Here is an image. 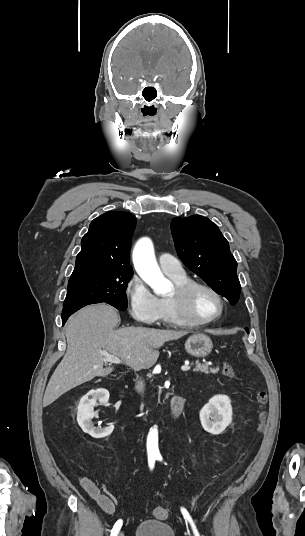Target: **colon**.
Masks as SVG:
<instances>
[{
  "label": "colon",
  "mask_w": 305,
  "mask_h": 536,
  "mask_svg": "<svg viewBox=\"0 0 305 536\" xmlns=\"http://www.w3.org/2000/svg\"><path fill=\"white\" fill-rule=\"evenodd\" d=\"M222 373H223L224 376L229 377V378H236V376H237L233 365L228 361L223 362V364H222ZM267 400H268V396H267V392L265 390H258L256 392V402H257L258 406L261 409V411L259 413V422H260L261 426L264 424V421H265V411H264V409H265V406L267 404ZM170 512L171 511H170V508L168 506L159 505V506L154 508L153 515H154V517L156 519H164V518H167L170 515Z\"/></svg>",
  "instance_id": "5ec220e1"
}]
</instances>
